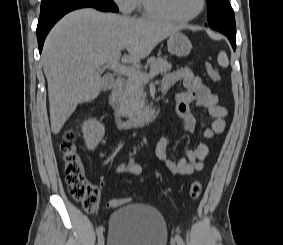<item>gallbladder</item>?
I'll list each match as a JSON object with an SVG mask.
<instances>
[{"instance_id": "obj_1", "label": "gallbladder", "mask_w": 283, "mask_h": 245, "mask_svg": "<svg viewBox=\"0 0 283 245\" xmlns=\"http://www.w3.org/2000/svg\"><path fill=\"white\" fill-rule=\"evenodd\" d=\"M110 88V84H105L103 90H108Z\"/></svg>"}]
</instances>
